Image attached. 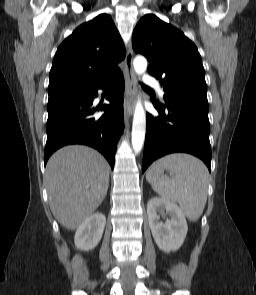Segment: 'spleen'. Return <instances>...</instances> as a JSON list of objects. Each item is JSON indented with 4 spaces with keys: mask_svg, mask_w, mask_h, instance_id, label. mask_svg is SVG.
I'll list each match as a JSON object with an SVG mask.
<instances>
[{
    "mask_svg": "<svg viewBox=\"0 0 256 295\" xmlns=\"http://www.w3.org/2000/svg\"><path fill=\"white\" fill-rule=\"evenodd\" d=\"M168 169L172 177L162 175ZM147 181L162 198L178 202L191 221L202 215L207 201L209 173L204 163L189 154H169L154 162Z\"/></svg>",
    "mask_w": 256,
    "mask_h": 295,
    "instance_id": "spleen-1",
    "label": "spleen"
}]
</instances>
